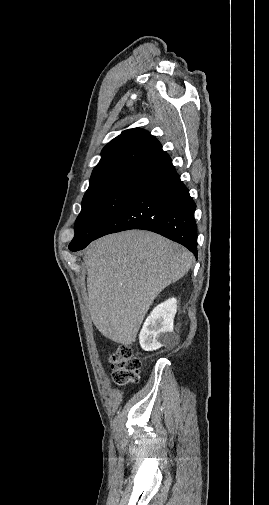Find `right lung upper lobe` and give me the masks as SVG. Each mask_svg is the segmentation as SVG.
I'll return each instance as SVG.
<instances>
[{
	"instance_id": "right-lung-upper-lobe-1",
	"label": "right lung upper lobe",
	"mask_w": 269,
	"mask_h": 505,
	"mask_svg": "<svg viewBox=\"0 0 269 505\" xmlns=\"http://www.w3.org/2000/svg\"><path fill=\"white\" fill-rule=\"evenodd\" d=\"M101 155L88 189L106 185L140 188L172 166L160 142L140 128L123 131L103 148Z\"/></svg>"
}]
</instances>
